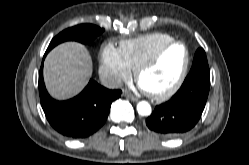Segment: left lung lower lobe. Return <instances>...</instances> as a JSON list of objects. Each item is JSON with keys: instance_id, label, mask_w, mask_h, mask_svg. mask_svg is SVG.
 <instances>
[{"instance_id": "obj_1", "label": "left lung lower lobe", "mask_w": 249, "mask_h": 165, "mask_svg": "<svg viewBox=\"0 0 249 165\" xmlns=\"http://www.w3.org/2000/svg\"><path fill=\"white\" fill-rule=\"evenodd\" d=\"M209 88L210 73H189L176 94L169 101L156 106L146 119V125L150 130L167 138L186 133L200 119Z\"/></svg>"}]
</instances>
